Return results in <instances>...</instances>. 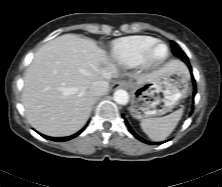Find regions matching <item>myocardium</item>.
I'll use <instances>...</instances> for the list:
<instances>
[{
  "label": "myocardium",
  "instance_id": "1",
  "mask_svg": "<svg viewBox=\"0 0 222 187\" xmlns=\"http://www.w3.org/2000/svg\"><path fill=\"white\" fill-rule=\"evenodd\" d=\"M159 47H164L165 49L162 54H158L157 52ZM168 57V45L161 40H156L147 48L140 64L144 69H154L162 65L168 59Z\"/></svg>",
  "mask_w": 222,
  "mask_h": 187
}]
</instances>
